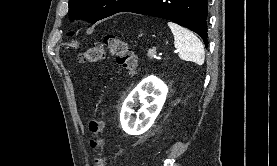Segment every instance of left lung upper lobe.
I'll return each mask as SVG.
<instances>
[{"label": "left lung upper lobe", "instance_id": "obj_1", "mask_svg": "<svg viewBox=\"0 0 277 166\" xmlns=\"http://www.w3.org/2000/svg\"><path fill=\"white\" fill-rule=\"evenodd\" d=\"M136 0H69V16L95 23L120 12ZM70 32L69 35H72Z\"/></svg>", "mask_w": 277, "mask_h": 166}]
</instances>
